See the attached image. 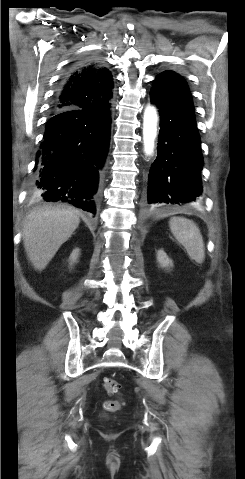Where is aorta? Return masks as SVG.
<instances>
[{
    "instance_id": "obj_1",
    "label": "aorta",
    "mask_w": 245,
    "mask_h": 479,
    "mask_svg": "<svg viewBox=\"0 0 245 479\" xmlns=\"http://www.w3.org/2000/svg\"><path fill=\"white\" fill-rule=\"evenodd\" d=\"M157 112L152 106H147L143 118V141L146 155H152L154 141L157 135Z\"/></svg>"
}]
</instances>
